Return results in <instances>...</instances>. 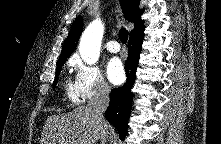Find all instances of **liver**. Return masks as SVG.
Returning a JSON list of instances; mask_svg holds the SVG:
<instances>
[{
	"instance_id": "1",
	"label": "liver",
	"mask_w": 221,
	"mask_h": 144,
	"mask_svg": "<svg viewBox=\"0 0 221 144\" xmlns=\"http://www.w3.org/2000/svg\"><path fill=\"white\" fill-rule=\"evenodd\" d=\"M102 130L108 134L109 125L97 123L87 106L47 118L42 133V144H95Z\"/></svg>"
}]
</instances>
